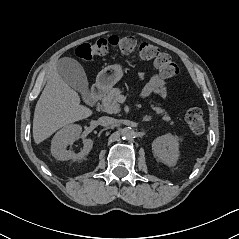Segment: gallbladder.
Listing matches in <instances>:
<instances>
[{
	"mask_svg": "<svg viewBox=\"0 0 239 239\" xmlns=\"http://www.w3.org/2000/svg\"><path fill=\"white\" fill-rule=\"evenodd\" d=\"M56 69L69 86L82 94L85 102H90L87 77L78 61L69 57H63L57 61Z\"/></svg>",
	"mask_w": 239,
	"mask_h": 239,
	"instance_id": "gallbladder-1",
	"label": "gallbladder"
}]
</instances>
